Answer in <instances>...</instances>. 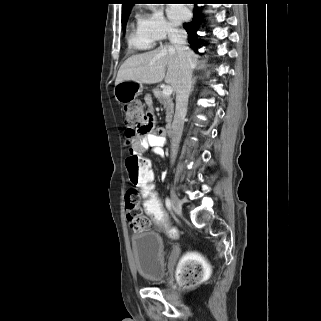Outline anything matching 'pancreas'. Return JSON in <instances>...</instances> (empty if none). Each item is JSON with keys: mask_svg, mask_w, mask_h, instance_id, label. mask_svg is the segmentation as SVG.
Listing matches in <instances>:
<instances>
[{"mask_svg": "<svg viewBox=\"0 0 321 321\" xmlns=\"http://www.w3.org/2000/svg\"><path fill=\"white\" fill-rule=\"evenodd\" d=\"M154 96L164 106V109L166 111V122L170 123L174 112V104L172 98L170 96L163 95L160 89L154 90Z\"/></svg>", "mask_w": 321, "mask_h": 321, "instance_id": "1", "label": "pancreas"}]
</instances>
